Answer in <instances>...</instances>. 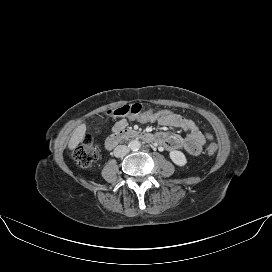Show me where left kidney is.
I'll return each instance as SVG.
<instances>
[{"label":"left kidney","instance_id":"left-kidney-1","mask_svg":"<svg viewBox=\"0 0 272 272\" xmlns=\"http://www.w3.org/2000/svg\"><path fill=\"white\" fill-rule=\"evenodd\" d=\"M169 155L174 164L178 166L186 165L187 163L186 157L184 153H182L181 151L174 150V151H171Z\"/></svg>","mask_w":272,"mask_h":272}]
</instances>
